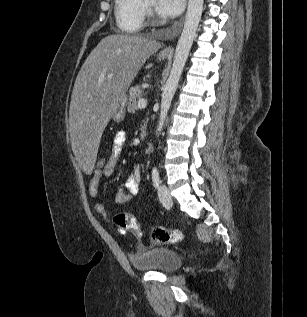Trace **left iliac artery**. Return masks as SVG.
Segmentation results:
<instances>
[{"instance_id":"left-iliac-artery-1","label":"left iliac artery","mask_w":307,"mask_h":317,"mask_svg":"<svg viewBox=\"0 0 307 317\" xmlns=\"http://www.w3.org/2000/svg\"><path fill=\"white\" fill-rule=\"evenodd\" d=\"M152 182L155 188L159 186L160 183V176H159V171L158 168L154 167L152 170Z\"/></svg>"}]
</instances>
